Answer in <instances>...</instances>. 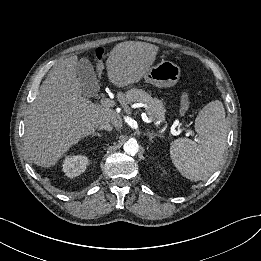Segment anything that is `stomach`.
<instances>
[{
    "label": "stomach",
    "instance_id": "stomach-1",
    "mask_svg": "<svg viewBox=\"0 0 261 261\" xmlns=\"http://www.w3.org/2000/svg\"><path fill=\"white\" fill-rule=\"evenodd\" d=\"M181 69L171 61H162L152 66L144 75V80L156 87L167 88L177 84L180 79Z\"/></svg>",
    "mask_w": 261,
    "mask_h": 261
}]
</instances>
